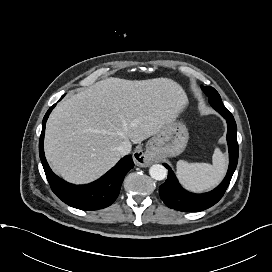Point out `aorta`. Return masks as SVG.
Wrapping results in <instances>:
<instances>
[{"label":"aorta","instance_id":"obj_1","mask_svg":"<svg viewBox=\"0 0 272 272\" xmlns=\"http://www.w3.org/2000/svg\"><path fill=\"white\" fill-rule=\"evenodd\" d=\"M149 174L153 179L161 181L167 177V169L161 164H154L150 167Z\"/></svg>","mask_w":272,"mask_h":272}]
</instances>
